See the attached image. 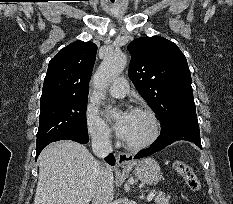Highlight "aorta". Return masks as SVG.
I'll return each instance as SVG.
<instances>
[{
    "label": "aorta",
    "mask_w": 233,
    "mask_h": 204,
    "mask_svg": "<svg viewBox=\"0 0 233 204\" xmlns=\"http://www.w3.org/2000/svg\"><path fill=\"white\" fill-rule=\"evenodd\" d=\"M127 64V56L124 53L107 55L100 64L93 77V84L98 90L96 95L102 97V91L106 89L124 70ZM112 115H116L115 112ZM122 204H129L127 198L122 199Z\"/></svg>",
    "instance_id": "aorta-1"
}]
</instances>
